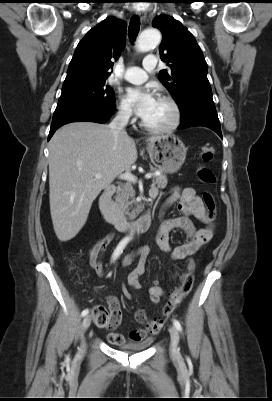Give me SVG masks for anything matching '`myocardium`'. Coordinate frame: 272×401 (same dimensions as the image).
<instances>
[{"instance_id": "myocardium-1", "label": "myocardium", "mask_w": 272, "mask_h": 401, "mask_svg": "<svg viewBox=\"0 0 272 401\" xmlns=\"http://www.w3.org/2000/svg\"><path fill=\"white\" fill-rule=\"evenodd\" d=\"M158 98L161 100L166 101L172 108L173 116L171 122L166 125V126H161V127H156V126H150L147 123L143 121V119L140 121V126L145 130L150 133H169L177 129L181 123L182 119V112L181 108L178 104V102L175 100L174 97L168 94H160L158 95Z\"/></svg>"}]
</instances>
